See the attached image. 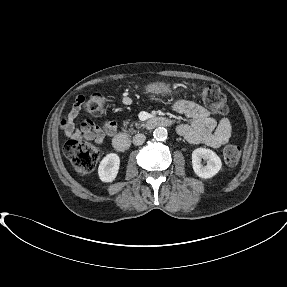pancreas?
Wrapping results in <instances>:
<instances>
[{
	"instance_id": "pancreas-1",
	"label": "pancreas",
	"mask_w": 287,
	"mask_h": 287,
	"mask_svg": "<svg viewBox=\"0 0 287 287\" xmlns=\"http://www.w3.org/2000/svg\"><path fill=\"white\" fill-rule=\"evenodd\" d=\"M128 125V122H125L124 123V126H127ZM135 125L137 126V127H139L141 124L140 123H135Z\"/></svg>"
}]
</instances>
